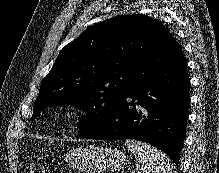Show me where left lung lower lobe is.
Returning <instances> with one entry per match:
<instances>
[{"mask_svg":"<svg viewBox=\"0 0 219 173\" xmlns=\"http://www.w3.org/2000/svg\"><path fill=\"white\" fill-rule=\"evenodd\" d=\"M132 83L103 125L78 138L144 141L178 165L186 136L190 79L182 47L171 33L137 64Z\"/></svg>","mask_w":219,"mask_h":173,"instance_id":"1","label":"left lung lower lobe"}]
</instances>
